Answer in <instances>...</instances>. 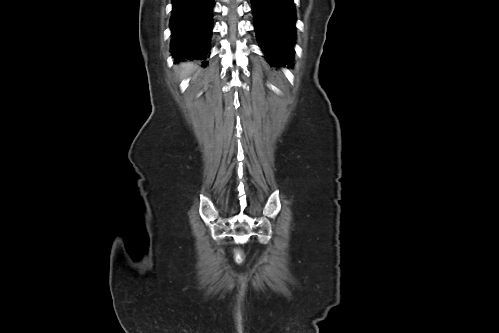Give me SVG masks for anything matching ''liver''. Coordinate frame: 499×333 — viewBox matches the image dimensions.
Here are the masks:
<instances>
[{"instance_id":"obj_1","label":"liver","mask_w":499,"mask_h":333,"mask_svg":"<svg viewBox=\"0 0 499 333\" xmlns=\"http://www.w3.org/2000/svg\"><path fill=\"white\" fill-rule=\"evenodd\" d=\"M180 69H181V76L182 77H185L189 74H191L192 72H194L196 69H197V66L194 65L193 63H185L183 65L180 66Z\"/></svg>"}]
</instances>
